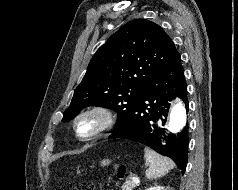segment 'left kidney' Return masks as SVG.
Masks as SVG:
<instances>
[{"mask_svg": "<svg viewBox=\"0 0 238 190\" xmlns=\"http://www.w3.org/2000/svg\"><path fill=\"white\" fill-rule=\"evenodd\" d=\"M145 190H165V188L162 187V186H155V187H151V188H148V189H145Z\"/></svg>", "mask_w": 238, "mask_h": 190, "instance_id": "obj_1", "label": "left kidney"}]
</instances>
